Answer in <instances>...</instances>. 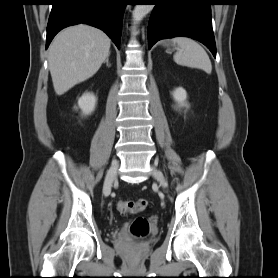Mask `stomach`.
Here are the masks:
<instances>
[{
    "label": "stomach",
    "mask_w": 278,
    "mask_h": 278,
    "mask_svg": "<svg viewBox=\"0 0 278 278\" xmlns=\"http://www.w3.org/2000/svg\"><path fill=\"white\" fill-rule=\"evenodd\" d=\"M163 45H164L165 47H167V48H169L170 46H172V44H171L170 41H165V42L163 43Z\"/></svg>",
    "instance_id": "obj_1"
}]
</instances>
